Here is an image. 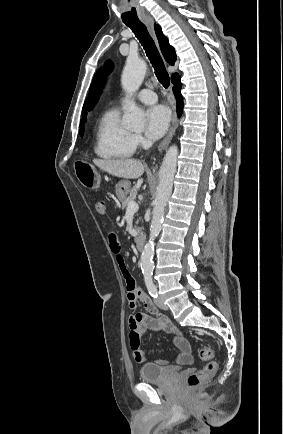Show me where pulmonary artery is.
<instances>
[{
  "instance_id": "obj_1",
  "label": "pulmonary artery",
  "mask_w": 283,
  "mask_h": 434,
  "mask_svg": "<svg viewBox=\"0 0 283 434\" xmlns=\"http://www.w3.org/2000/svg\"><path fill=\"white\" fill-rule=\"evenodd\" d=\"M136 98L144 104H153L157 101L156 94L150 89H142Z\"/></svg>"
}]
</instances>
